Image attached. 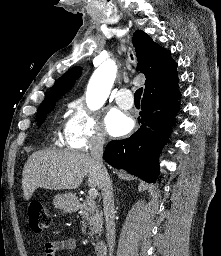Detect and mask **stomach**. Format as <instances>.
<instances>
[{
  "instance_id": "stomach-1",
  "label": "stomach",
  "mask_w": 221,
  "mask_h": 256,
  "mask_svg": "<svg viewBox=\"0 0 221 256\" xmlns=\"http://www.w3.org/2000/svg\"><path fill=\"white\" fill-rule=\"evenodd\" d=\"M53 203L56 208L67 213L74 212L77 208V199L72 193L56 195Z\"/></svg>"
}]
</instances>
